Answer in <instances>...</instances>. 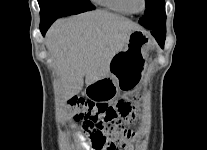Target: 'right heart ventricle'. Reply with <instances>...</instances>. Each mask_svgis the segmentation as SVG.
<instances>
[{
  "instance_id": "e07e8e85",
  "label": "right heart ventricle",
  "mask_w": 207,
  "mask_h": 150,
  "mask_svg": "<svg viewBox=\"0 0 207 150\" xmlns=\"http://www.w3.org/2000/svg\"><path fill=\"white\" fill-rule=\"evenodd\" d=\"M102 7L122 15H131L132 11L129 9L125 0H95Z\"/></svg>"
}]
</instances>
